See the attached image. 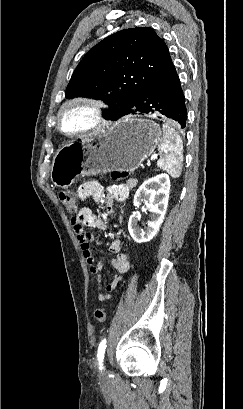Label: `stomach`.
<instances>
[{
	"label": "stomach",
	"instance_id": "obj_1",
	"mask_svg": "<svg viewBox=\"0 0 243 409\" xmlns=\"http://www.w3.org/2000/svg\"><path fill=\"white\" fill-rule=\"evenodd\" d=\"M162 136L150 120L125 117L105 132L62 146L53 158L51 181L67 188L80 176L110 171H134L155 150Z\"/></svg>",
	"mask_w": 243,
	"mask_h": 409
}]
</instances>
